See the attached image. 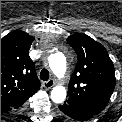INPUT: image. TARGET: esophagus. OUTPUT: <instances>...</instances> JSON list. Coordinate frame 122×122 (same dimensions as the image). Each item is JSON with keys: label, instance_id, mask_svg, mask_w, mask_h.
Returning <instances> with one entry per match:
<instances>
[{"label": "esophagus", "instance_id": "34e87169", "mask_svg": "<svg viewBox=\"0 0 122 122\" xmlns=\"http://www.w3.org/2000/svg\"><path fill=\"white\" fill-rule=\"evenodd\" d=\"M54 86V80L50 79L48 81L43 82V87L46 89H50Z\"/></svg>", "mask_w": 122, "mask_h": 122}]
</instances>
